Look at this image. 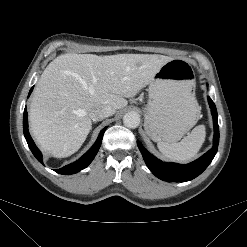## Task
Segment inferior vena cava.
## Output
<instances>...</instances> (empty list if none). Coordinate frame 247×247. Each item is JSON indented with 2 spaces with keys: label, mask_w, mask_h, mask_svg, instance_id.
<instances>
[{
  "label": "inferior vena cava",
  "mask_w": 247,
  "mask_h": 247,
  "mask_svg": "<svg viewBox=\"0 0 247 247\" xmlns=\"http://www.w3.org/2000/svg\"><path fill=\"white\" fill-rule=\"evenodd\" d=\"M115 113V109L112 108L111 106L105 105V106H99L94 108L90 112V118L96 122V121H101L104 118L108 116H112Z\"/></svg>",
  "instance_id": "1"
}]
</instances>
